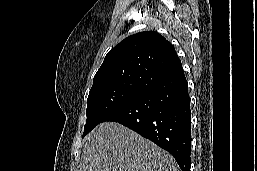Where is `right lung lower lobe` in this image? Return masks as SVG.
I'll use <instances>...</instances> for the list:
<instances>
[{
    "label": "right lung lower lobe",
    "mask_w": 257,
    "mask_h": 171,
    "mask_svg": "<svg viewBox=\"0 0 257 171\" xmlns=\"http://www.w3.org/2000/svg\"><path fill=\"white\" fill-rule=\"evenodd\" d=\"M106 121L153 141L173 155L182 171H190L191 110L183 69L141 91Z\"/></svg>",
    "instance_id": "1"
}]
</instances>
